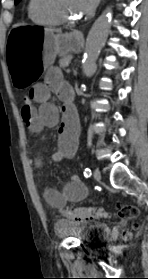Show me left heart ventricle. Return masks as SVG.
Wrapping results in <instances>:
<instances>
[{
	"label": "left heart ventricle",
	"instance_id": "b2bd125f",
	"mask_svg": "<svg viewBox=\"0 0 148 279\" xmlns=\"http://www.w3.org/2000/svg\"><path fill=\"white\" fill-rule=\"evenodd\" d=\"M59 5L66 15L73 17L80 15L75 0H59Z\"/></svg>",
	"mask_w": 148,
	"mask_h": 279
}]
</instances>
